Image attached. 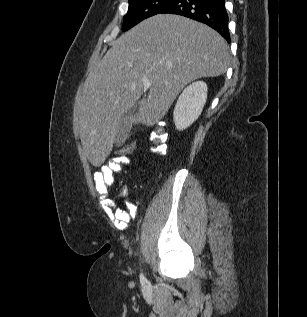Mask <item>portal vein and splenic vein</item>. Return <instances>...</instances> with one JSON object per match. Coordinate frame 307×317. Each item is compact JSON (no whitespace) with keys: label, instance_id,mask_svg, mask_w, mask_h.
<instances>
[{"label":"portal vein and splenic vein","instance_id":"1","mask_svg":"<svg viewBox=\"0 0 307 317\" xmlns=\"http://www.w3.org/2000/svg\"><path fill=\"white\" fill-rule=\"evenodd\" d=\"M143 85L145 89H149L151 87V83L149 81H144Z\"/></svg>","mask_w":307,"mask_h":317}]
</instances>
